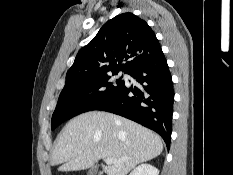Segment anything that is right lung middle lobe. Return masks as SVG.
Here are the masks:
<instances>
[{"label": "right lung middle lobe", "instance_id": "1", "mask_svg": "<svg viewBox=\"0 0 233 175\" xmlns=\"http://www.w3.org/2000/svg\"><path fill=\"white\" fill-rule=\"evenodd\" d=\"M117 73L118 71L112 72V75ZM123 86L121 78L113 80L109 73L66 82L52 115V130L70 118L98 109L110 101Z\"/></svg>", "mask_w": 233, "mask_h": 175}]
</instances>
